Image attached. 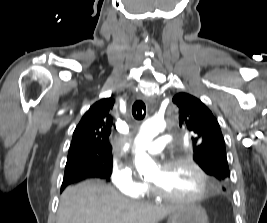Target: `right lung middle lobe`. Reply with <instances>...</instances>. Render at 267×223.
I'll use <instances>...</instances> for the list:
<instances>
[{
	"mask_svg": "<svg viewBox=\"0 0 267 223\" xmlns=\"http://www.w3.org/2000/svg\"><path fill=\"white\" fill-rule=\"evenodd\" d=\"M102 164V166L100 165ZM101 166L102 168H100ZM74 170H88L99 173L103 179L109 180L112 173V159L111 157L102 159L101 162L96 160H80L71 161L66 164L65 173Z\"/></svg>",
	"mask_w": 267,
	"mask_h": 223,
	"instance_id": "1",
	"label": "right lung middle lobe"
}]
</instances>
